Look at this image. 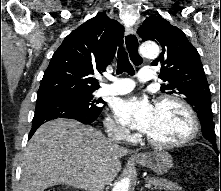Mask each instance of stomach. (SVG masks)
<instances>
[{
    "mask_svg": "<svg viewBox=\"0 0 221 191\" xmlns=\"http://www.w3.org/2000/svg\"><path fill=\"white\" fill-rule=\"evenodd\" d=\"M136 162L150 168L159 175L167 173L173 165L171 155L163 149H156L142 154L141 156H137Z\"/></svg>",
    "mask_w": 221,
    "mask_h": 191,
    "instance_id": "1",
    "label": "stomach"
}]
</instances>
